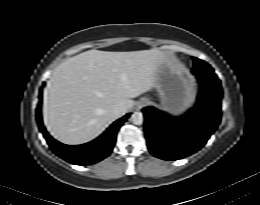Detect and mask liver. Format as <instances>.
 <instances>
[{"instance_id":"obj_1","label":"liver","mask_w":260,"mask_h":205,"mask_svg":"<svg viewBox=\"0 0 260 205\" xmlns=\"http://www.w3.org/2000/svg\"><path fill=\"white\" fill-rule=\"evenodd\" d=\"M170 57L158 49L80 53L54 71L44 91L43 117L51 134L70 145L89 142L115 119L122 104L155 88L158 66Z\"/></svg>"}]
</instances>
